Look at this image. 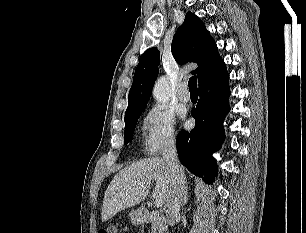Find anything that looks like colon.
Segmentation results:
<instances>
[{
	"label": "colon",
	"instance_id": "1",
	"mask_svg": "<svg viewBox=\"0 0 306 233\" xmlns=\"http://www.w3.org/2000/svg\"><path fill=\"white\" fill-rule=\"evenodd\" d=\"M119 232H120L119 224L115 222L104 225L98 231V233H119Z\"/></svg>",
	"mask_w": 306,
	"mask_h": 233
}]
</instances>
